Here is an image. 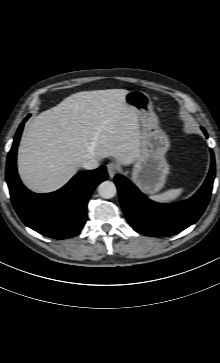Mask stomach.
Segmentation results:
<instances>
[{"mask_svg": "<svg viewBox=\"0 0 220 363\" xmlns=\"http://www.w3.org/2000/svg\"><path fill=\"white\" fill-rule=\"evenodd\" d=\"M125 103L138 112L141 122V151L134 163L132 180L144 193L154 194L164 187L170 171L165 157L169 138L160 127L146 93L128 91Z\"/></svg>", "mask_w": 220, "mask_h": 363, "instance_id": "0dacf381", "label": "stomach"}]
</instances>
